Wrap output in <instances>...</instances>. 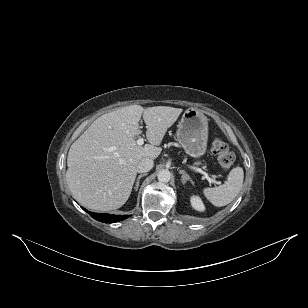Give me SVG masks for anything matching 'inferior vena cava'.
<instances>
[{
	"instance_id": "1",
	"label": "inferior vena cava",
	"mask_w": 308,
	"mask_h": 308,
	"mask_svg": "<svg viewBox=\"0 0 308 308\" xmlns=\"http://www.w3.org/2000/svg\"><path fill=\"white\" fill-rule=\"evenodd\" d=\"M154 162L150 158H142L137 164V171L139 173H145L153 168Z\"/></svg>"
}]
</instances>
